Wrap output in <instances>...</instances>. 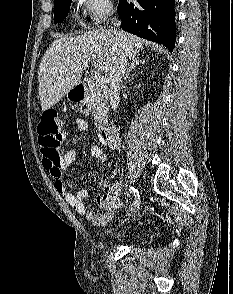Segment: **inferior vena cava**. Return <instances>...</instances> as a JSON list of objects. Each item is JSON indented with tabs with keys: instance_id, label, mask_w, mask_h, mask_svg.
I'll list each match as a JSON object with an SVG mask.
<instances>
[{
	"instance_id": "1",
	"label": "inferior vena cava",
	"mask_w": 233,
	"mask_h": 294,
	"mask_svg": "<svg viewBox=\"0 0 233 294\" xmlns=\"http://www.w3.org/2000/svg\"><path fill=\"white\" fill-rule=\"evenodd\" d=\"M126 66V55L122 52L118 53L111 70L109 89L110 105L114 111H116L120 102V85L126 70Z\"/></svg>"
}]
</instances>
